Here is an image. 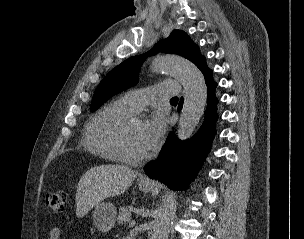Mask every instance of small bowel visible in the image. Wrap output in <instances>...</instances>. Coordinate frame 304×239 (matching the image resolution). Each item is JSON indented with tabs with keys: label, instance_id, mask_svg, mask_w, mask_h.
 <instances>
[{
	"label": "small bowel",
	"instance_id": "c3829d8e",
	"mask_svg": "<svg viewBox=\"0 0 304 239\" xmlns=\"http://www.w3.org/2000/svg\"><path fill=\"white\" fill-rule=\"evenodd\" d=\"M63 231L59 227H53L49 232V239H62Z\"/></svg>",
	"mask_w": 304,
	"mask_h": 239
}]
</instances>
